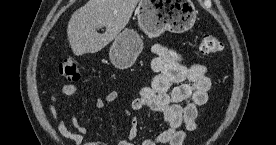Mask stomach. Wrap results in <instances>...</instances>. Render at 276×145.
<instances>
[{"label": "stomach", "mask_w": 276, "mask_h": 145, "mask_svg": "<svg viewBox=\"0 0 276 145\" xmlns=\"http://www.w3.org/2000/svg\"><path fill=\"white\" fill-rule=\"evenodd\" d=\"M136 15L140 29L149 37L165 31L181 33L193 27L197 10L191 0H141ZM143 48V41L133 29H124L115 38L109 50L112 64L128 69Z\"/></svg>", "instance_id": "1"}]
</instances>
